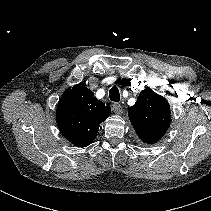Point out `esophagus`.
<instances>
[{
	"label": "esophagus",
	"mask_w": 211,
	"mask_h": 211,
	"mask_svg": "<svg viewBox=\"0 0 211 211\" xmlns=\"http://www.w3.org/2000/svg\"><path fill=\"white\" fill-rule=\"evenodd\" d=\"M112 110L116 114H122V112H123L122 106L119 103H114L113 106H112Z\"/></svg>",
	"instance_id": "1"
}]
</instances>
